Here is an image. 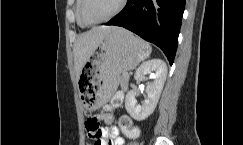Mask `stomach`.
I'll use <instances>...</instances> for the list:
<instances>
[{"label": "stomach", "instance_id": "obj_1", "mask_svg": "<svg viewBox=\"0 0 243 145\" xmlns=\"http://www.w3.org/2000/svg\"><path fill=\"white\" fill-rule=\"evenodd\" d=\"M150 53V45L126 29L112 31L80 73L78 84L85 88L81 89L78 101L89 110L104 106L117 90L121 75L134 69Z\"/></svg>", "mask_w": 243, "mask_h": 145}]
</instances>
